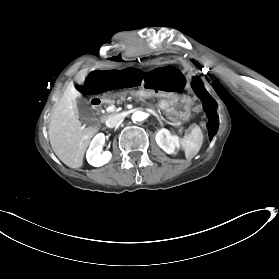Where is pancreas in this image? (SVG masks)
Returning a JSON list of instances; mask_svg holds the SVG:
<instances>
[{
    "label": "pancreas",
    "instance_id": "cf45deb5",
    "mask_svg": "<svg viewBox=\"0 0 279 279\" xmlns=\"http://www.w3.org/2000/svg\"><path fill=\"white\" fill-rule=\"evenodd\" d=\"M125 98H126V94L122 95V96L120 97V99L117 100V103L120 104L123 100H125ZM114 103H115V100H109V102H108L109 105H112V104H114Z\"/></svg>",
    "mask_w": 279,
    "mask_h": 279
}]
</instances>
